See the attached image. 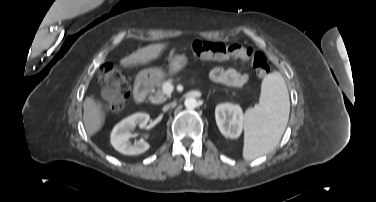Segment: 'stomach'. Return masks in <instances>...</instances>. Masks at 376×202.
<instances>
[{
    "label": "stomach",
    "instance_id": "obj_1",
    "mask_svg": "<svg viewBox=\"0 0 376 202\" xmlns=\"http://www.w3.org/2000/svg\"><path fill=\"white\" fill-rule=\"evenodd\" d=\"M187 64H188V57L185 54L176 55L170 61L169 73L176 74L179 71H181ZM138 75L143 77V79L146 82L150 83L164 76V72L159 68H147V69L140 71Z\"/></svg>",
    "mask_w": 376,
    "mask_h": 202
}]
</instances>
